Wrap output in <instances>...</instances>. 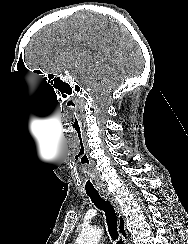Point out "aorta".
<instances>
[{
    "mask_svg": "<svg viewBox=\"0 0 188 244\" xmlns=\"http://www.w3.org/2000/svg\"><path fill=\"white\" fill-rule=\"evenodd\" d=\"M102 236L99 227L83 228L76 240V244H98Z\"/></svg>",
    "mask_w": 188,
    "mask_h": 244,
    "instance_id": "obj_1",
    "label": "aorta"
}]
</instances>
